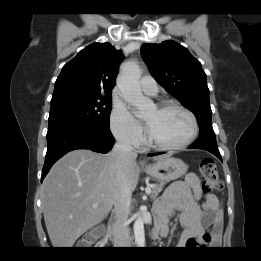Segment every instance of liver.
Instances as JSON below:
<instances>
[{
	"instance_id": "obj_1",
	"label": "liver",
	"mask_w": 261,
	"mask_h": 261,
	"mask_svg": "<svg viewBox=\"0 0 261 261\" xmlns=\"http://www.w3.org/2000/svg\"><path fill=\"white\" fill-rule=\"evenodd\" d=\"M166 155L156 156L155 161ZM125 182L132 193L140 169L136 161L124 166ZM117 168L114 152L98 154L74 150L59 159L42 184V207L53 247L71 248L89 229L101 223L114 205Z\"/></svg>"
}]
</instances>
